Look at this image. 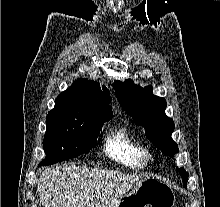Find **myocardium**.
I'll return each instance as SVG.
<instances>
[{
	"label": "myocardium",
	"mask_w": 220,
	"mask_h": 207,
	"mask_svg": "<svg viewBox=\"0 0 220 207\" xmlns=\"http://www.w3.org/2000/svg\"><path fill=\"white\" fill-rule=\"evenodd\" d=\"M142 155L145 161L152 160V154L151 151L146 147H141Z\"/></svg>",
	"instance_id": "obj_1"
}]
</instances>
